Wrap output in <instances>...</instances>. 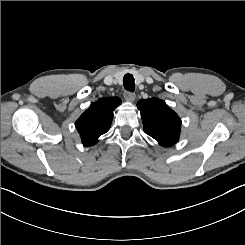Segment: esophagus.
<instances>
[{
	"instance_id": "34e87169",
	"label": "esophagus",
	"mask_w": 245,
	"mask_h": 245,
	"mask_svg": "<svg viewBox=\"0 0 245 245\" xmlns=\"http://www.w3.org/2000/svg\"><path fill=\"white\" fill-rule=\"evenodd\" d=\"M124 97L126 100L133 102L136 98L135 93L129 92V91H125L124 92Z\"/></svg>"
}]
</instances>
